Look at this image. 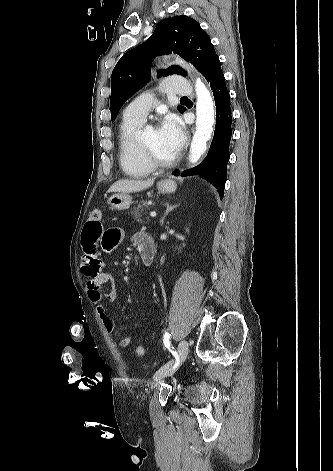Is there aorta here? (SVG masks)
<instances>
[{
	"instance_id": "762f6f07",
	"label": "aorta",
	"mask_w": 333,
	"mask_h": 471,
	"mask_svg": "<svg viewBox=\"0 0 333 471\" xmlns=\"http://www.w3.org/2000/svg\"><path fill=\"white\" fill-rule=\"evenodd\" d=\"M196 131L189 151V161L196 163L205 152L206 145L212 134L215 121L214 104L210 92L198 78L196 80Z\"/></svg>"
}]
</instances>
